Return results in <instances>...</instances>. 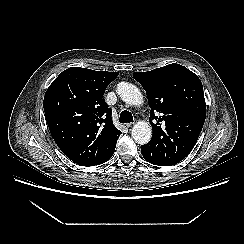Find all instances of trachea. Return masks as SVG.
<instances>
[{
	"label": "trachea",
	"mask_w": 244,
	"mask_h": 244,
	"mask_svg": "<svg viewBox=\"0 0 244 244\" xmlns=\"http://www.w3.org/2000/svg\"><path fill=\"white\" fill-rule=\"evenodd\" d=\"M119 122L121 123H130L133 122V116L131 112L124 110L120 114Z\"/></svg>",
	"instance_id": "3493384b"
}]
</instances>
